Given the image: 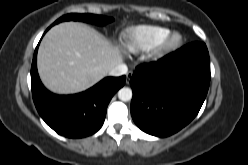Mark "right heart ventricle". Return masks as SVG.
Listing matches in <instances>:
<instances>
[{
  "label": "right heart ventricle",
  "mask_w": 248,
  "mask_h": 165,
  "mask_svg": "<svg viewBox=\"0 0 248 165\" xmlns=\"http://www.w3.org/2000/svg\"><path fill=\"white\" fill-rule=\"evenodd\" d=\"M170 30L160 26H139L127 34L126 49L131 53L147 51L155 47Z\"/></svg>",
  "instance_id": "right-heart-ventricle-1"
}]
</instances>
